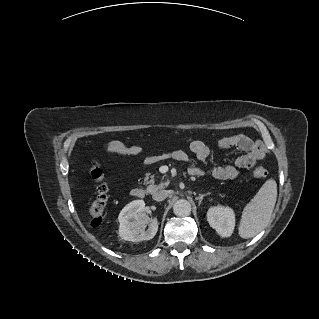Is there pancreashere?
<instances>
[{
    "label": "pancreas",
    "mask_w": 319,
    "mask_h": 319,
    "mask_svg": "<svg viewBox=\"0 0 319 319\" xmlns=\"http://www.w3.org/2000/svg\"><path fill=\"white\" fill-rule=\"evenodd\" d=\"M145 183L148 185L146 191L149 194H152L159 189H164L165 187L168 186V181L161 182L160 184L156 185L154 176H151L150 180L147 179Z\"/></svg>",
    "instance_id": "cf45deb5"
}]
</instances>
